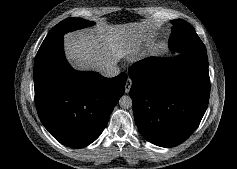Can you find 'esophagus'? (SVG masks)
I'll use <instances>...</instances> for the list:
<instances>
[{"label":"esophagus","mask_w":237,"mask_h":169,"mask_svg":"<svg viewBox=\"0 0 237 169\" xmlns=\"http://www.w3.org/2000/svg\"><path fill=\"white\" fill-rule=\"evenodd\" d=\"M131 85H132V81H131V79L128 78L126 81V85H125V92L126 93H128L130 91Z\"/></svg>","instance_id":"1"}]
</instances>
